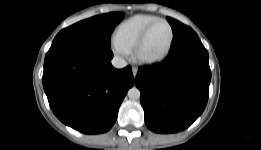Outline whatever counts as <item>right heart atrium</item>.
Masks as SVG:
<instances>
[{
	"instance_id": "1",
	"label": "right heart atrium",
	"mask_w": 261,
	"mask_h": 150,
	"mask_svg": "<svg viewBox=\"0 0 261 150\" xmlns=\"http://www.w3.org/2000/svg\"><path fill=\"white\" fill-rule=\"evenodd\" d=\"M112 49L113 52L120 57H125L129 54V51L115 40L112 42Z\"/></svg>"
}]
</instances>
